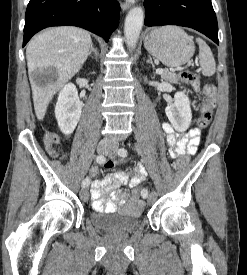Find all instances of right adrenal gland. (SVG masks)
Masks as SVG:
<instances>
[{
    "label": "right adrenal gland",
    "instance_id": "obj_1",
    "mask_svg": "<svg viewBox=\"0 0 247 275\" xmlns=\"http://www.w3.org/2000/svg\"><path fill=\"white\" fill-rule=\"evenodd\" d=\"M91 54H94L96 58L99 56V53H98L97 49L94 47L93 43L91 44V48L89 51V57L91 56Z\"/></svg>",
    "mask_w": 247,
    "mask_h": 275
}]
</instances>
